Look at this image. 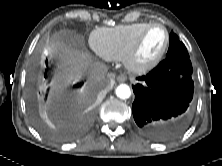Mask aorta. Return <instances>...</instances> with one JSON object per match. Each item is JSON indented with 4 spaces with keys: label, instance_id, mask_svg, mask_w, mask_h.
Returning <instances> with one entry per match:
<instances>
[{
    "label": "aorta",
    "instance_id": "1",
    "mask_svg": "<svg viewBox=\"0 0 222 166\" xmlns=\"http://www.w3.org/2000/svg\"><path fill=\"white\" fill-rule=\"evenodd\" d=\"M116 95L120 99H128L131 96V90L130 87L126 84H120L116 88Z\"/></svg>",
    "mask_w": 222,
    "mask_h": 166
}]
</instances>
